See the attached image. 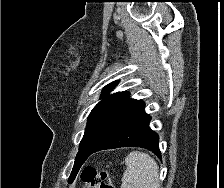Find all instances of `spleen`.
I'll return each mask as SVG.
<instances>
[{
  "label": "spleen",
  "instance_id": "spleen-1",
  "mask_svg": "<svg viewBox=\"0 0 224 188\" xmlns=\"http://www.w3.org/2000/svg\"><path fill=\"white\" fill-rule=\"evenodd\" d=\"M125 164L121 188H160L158 165L148 154L132 151Z\"/></svg>",
  "mask_w": 224,
  "mask_h": 188
}]
</instances>
